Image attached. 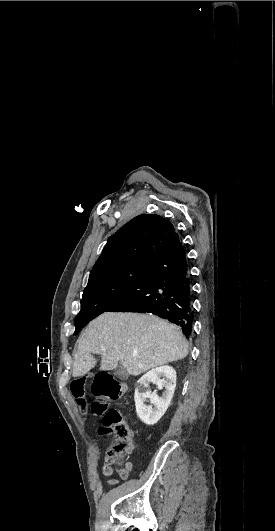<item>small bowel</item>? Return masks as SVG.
<instances>
[{
    "instance_id": "small-bowel-1",
    "label": "small bowel",
    "mask_w": 275,
    "mask_h": 531,
    "mask_svg": "<svg viewBox=\"0 0 275 531\" xmlns=\"http://www.w3.org/2000/svg\"><path fill=\"white\" fill-rule=\"evenodd\" d=\"M133 448L134 447H131L129 453L133 450ZM129 453H127V454H129ZM101 474L106 475V476L108 475V472H107V469H106L105 465L101 469ZM129 476L130 475H122V477H126V478H129Z\"/></svg>"
}]
</instances>
